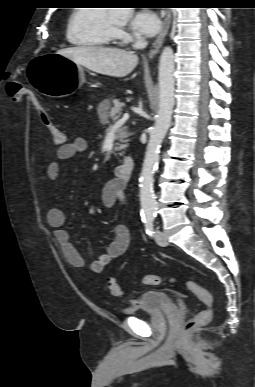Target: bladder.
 Segmentation results:
<instances>
[{
  "instance_id": "1",
  "label": "bladder",
  "mask_w": 255,
  "mask_h": 387,
  "mask_svg": "<svg viewBox=\"0 0 255 387\" xmlns=\"http://www.w3.org/2000/svg\"><path fill=\"white\" fill-rule=\"evenodd\" d=\"M171 296L162 291L144 292L135 302L123 310V314L136 316L139 313L158 314L167 308H173Z\"/></svg>"
}]
</instances>
